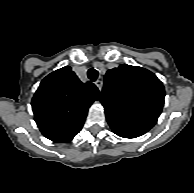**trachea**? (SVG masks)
Masks as SVG:
<instances>
[{"mask_svg":"<svg viewBox=\"0 0 194 193\" xmlns=\"http://www.w3.org/2000/svg\"><path fill=\"white\" fill-rule=\"evenodd\" d=\"M87 75H88V78H89L91 81L94 82V81H96V79L98 78V71L95 70L94 68H90V69L88 70Z\"/></svg>","mask_w":194,"mask_h":193,"instance_id":"obj_1","label":"trachea"}]
</instances>
